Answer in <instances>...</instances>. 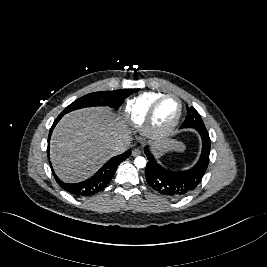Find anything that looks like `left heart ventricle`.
<instances>
[{
    "label": "left heart ventricle",
    "instance_id": "1",
    "mask_svg": "<svg viewBox=\"0 0 267 267\" xmlns=\"http://www.w3.org/2000/svg\"><path fill=\"white\" fill-rule=\"evenodd\" d=\"M179 105L176 99L167 98L158 107L154 126L157 129H165L169 127L178 114Z\"/></svg>",
    "mask_w": 267,
    "mask_h": 267
}]
</instances>
